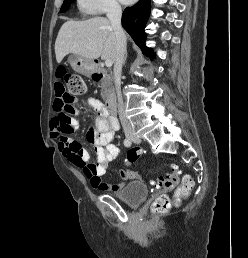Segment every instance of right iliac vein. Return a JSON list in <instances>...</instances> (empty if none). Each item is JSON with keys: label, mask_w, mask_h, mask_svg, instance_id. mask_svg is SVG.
Returning <instances> with one entry per match:
<instances>
[{"label": "right iliac vein", "mask_w": 248, "mask_h": 258, "mask_svg": "<svg viewBox=\"0 0 248 258\" xmlns=\"http://www.w3.org/2000/svg\"><path fill=\"white\" fill-rule=\"evenodd\" d=\"M135 135L133 134H129L128 137L131 139L132 137H134Z\"/></svg>", "instance_id": "right-iliac-vein-1"}]
</instances>
